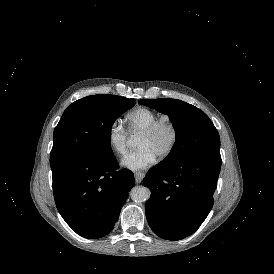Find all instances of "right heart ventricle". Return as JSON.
Listing matches in <instances>:
<instances>
[{
	"label": "right heart ventricle",
	"instance_id": "right-heart-ventricle-1",
	"mask_svg": "<svg viewBox=\"0 0 274 274\" xmlns=\"http://www.w3.org/2000/svg\"><path fill=\"white\" fill-rule=\"evenodd\" d=\"M159 120V115L151 110L141 109L126 117L127 130L131 134L141 133Z\"/></svg>",
	"mask_w": 274,
	"mask_h": 274
}]
</instances>
